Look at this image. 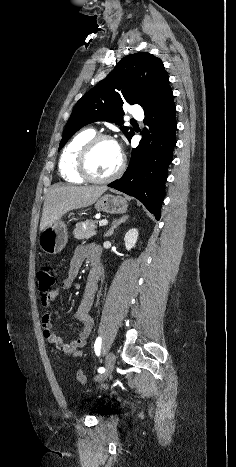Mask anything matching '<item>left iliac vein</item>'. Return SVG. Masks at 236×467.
Wrapping results in <instances>:
<instances>
[{"label":"left iliac vein","instance_id":"obj_1","mask_svg":"<svg viewBox=\"0 0 236 467\" xmlns=\"http://www.w3.org/2000/svg\"><path fill=\"white\" fill-rule=\"evenodd\" d=\"M114 365H115V356L112 352H109L105 358V371L103 374L98 376L97 380L98 381L106 380L112 373L114 369Z\"/></svg>","mask_w":236,"mask_h":467}]
</instances>
